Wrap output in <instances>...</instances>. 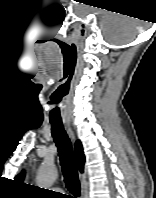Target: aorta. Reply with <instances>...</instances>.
Instances as JSON below:
<instances>
[{
  "instance_id": "1",
  "label": "aorta",
  "mask_w": 156,
  "mask_h": 198,
  "mask_svg": "<svg viewBox=\"0 0 156 198\" xmlns=\"http://www.w3.org/2000/svg\"><path fill=\"white\" fill-rule=\"evenodd\" d=\"M58 177V170L56 166L50 162H44L36 177L37 185L41 188L51 187Z\"/></svg>"
}]
</instances>
